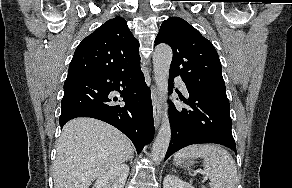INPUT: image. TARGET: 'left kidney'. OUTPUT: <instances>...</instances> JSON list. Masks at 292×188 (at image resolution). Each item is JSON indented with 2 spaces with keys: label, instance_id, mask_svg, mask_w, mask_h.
Masks as SVG:
<instances>
[{
  "label": "left kidney",
  "instance_id": "1",
  "mask_svg": "<svg viewBox=\"0 0 292 188\" xmlns=\"http://www.w3.org/2000/svg\"><path fill=\"white\" fill-rule=\"evenodd\" d=\"M163 188H194L191 184L174 175H167L163 181Z\"/></svg>",
  "mask_w": 292,
  "mask_h": 188
}]
</instances>
